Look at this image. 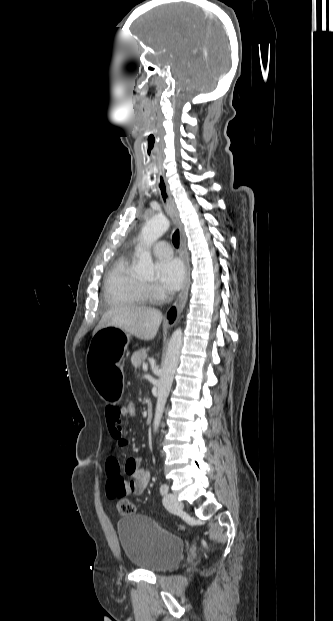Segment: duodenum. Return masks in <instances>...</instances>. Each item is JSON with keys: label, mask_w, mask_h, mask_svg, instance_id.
<instances>
[{"label": "duodenum", "mask_w": 333, "mask_h": 621, "mask_svg": "<svg viewBox=\"0 0 333 621\" xmlns=\"http://www.w3.org/2000/svg\"><path fill=\"white\" fill-rule=\"evenodd\" d=\"M152 418H153V410H152V407H150V406H149V407L147 408V413H146V421H147V422H151V421H152Z\"/></svg>", "instance_id": "duodenum-1"}]
</instances>
